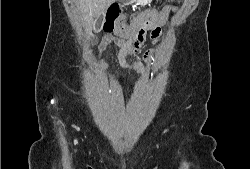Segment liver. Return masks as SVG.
Masks as SVG:
<instances>
[{
	"label": "liver",
	"instance_id": "6515ba94",
	"mask_svg": "<svg viewBox=\"0 0 250 169\" xmlns=\"http://www.w3.org/2000/svg\"><path fill=\"white\" fill-rule=\"evenodd\" d=\"M80 12L81 20L85 30H91L94 26L96 16L105 12L113 0H75Z\"/></svg>",
	"mask_w": 250,
	"mask_h": 169
}]
</instances>
